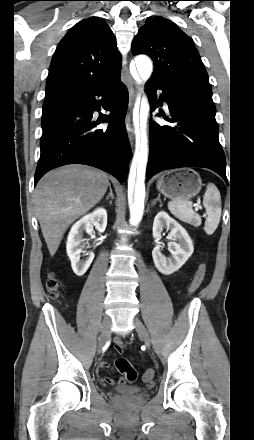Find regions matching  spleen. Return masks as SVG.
<instances>
[{
	"label": "spleen",
	"instance_id": "spleen-1",
	"mask_svg": "<svg viewBox=\"0 0 254 440\" xmlns=\"http://www.w3.org/2000/svg\"><path fill=\"white\" fill-rule=\"evenodd\" d=\"M203 205L207 218L204 231L211 235L217 229L221 217V196L218 188L213 183H208L203 196ZM170 212L179 220L193 226L201 225V217L192 209V202L188 200H173L168 203Z\"/></svg>",
	"mask_w": 254,
	"mask_h": 440
}]
</instances>
